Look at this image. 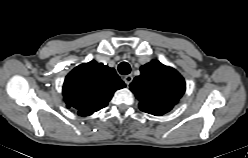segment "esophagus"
Segmentation results:
<instances>
[{
  "label": "esophagus",
  "instance_id": "obj_1",
  "mask_svg": "<svg viewBox=\"0 0 248 158\" xmlns=\"http://www.w3.org/2000/svg\"><path fill=\"white\" fill-rule=\"evenodd\" d=\"M133 80V76L131 74L124 76V82L129 85Z\"/></svg>",
  "mask_w": 248,
  "mask_h": 158
}]
</instances>
